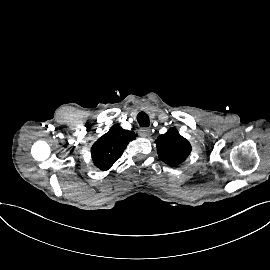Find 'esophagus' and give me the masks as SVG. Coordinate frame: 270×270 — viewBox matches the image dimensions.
<instances>
[{
  "label": "esophagus",
  "mask_w": 270,
  "mask_h": 270,
  "mask_svg": "<svg viewBox=\"0 0 270 270\" xmlns=\"http://www.w3.org/2000/svg\"><path fill=\"white\" fill-rule=\"evenodd\" d=\"M139 135L142 137H149L151 135L150 129L147 127L141 128L139 130Z\"/></svg>",
  "instance_id": "34e87169"
}]
</instances>
